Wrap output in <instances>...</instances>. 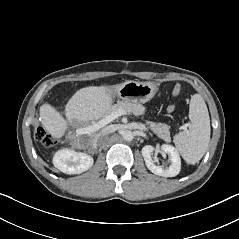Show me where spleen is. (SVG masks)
Masks as SVG:
<instances>
[{"label": "spleen", "instance_id": "spleen-1", "mask_svg": "<svg viewBox=\"0 0 239 239\" xmlns=\"http://www.w3.org/2000/svg\"><path fill=\"white\" fill-rule=\"evenodd\" d=\"M188 129L174 138L176 149L188 164H195L205 154L210 140V118L207 106L200 94L191 97Z\"/></svg>", "mask_w": 239, "mask_h": 239}]
</instances>
